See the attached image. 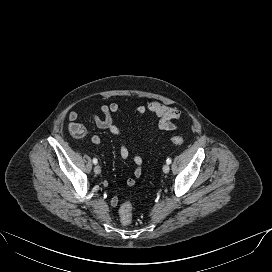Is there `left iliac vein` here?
Wrapping results in <instances>:
<instances>
[{"mask_svg":"<svg viewBox=\"0 0 272 272\" xmlns=\"http://www.w3.org/2000/svg\"><path fill=\"white\" fill-rule=\"evenodd\" d=\"M162 169L164 173H168L170 171V167L168 164H165Z\"/></svg>","mask_w":272,"mask_h":272,"instance_id":"left-iliac-vein-1","label":"left iliac vein"}]
</instances>
